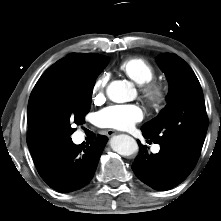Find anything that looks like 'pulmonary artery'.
I'll return each instance as SVG.
<instances>
[{
  "instance_id": "1",
  "label": "pulmonary artery",
  "mask_w": 221,
  "mask_h": 221,
  "mask_svg": "<svg viewBox=\"0 0 221 221\" xmlns=\"http://www.w3.org/2000/svg\"><path fill=\"white\" fill-rule=\"evenodd\" d=\"M159 146H155L154 148H153V151L155 152V153H157L158 151H159Z\"/></svg>"
}]
</instances>
